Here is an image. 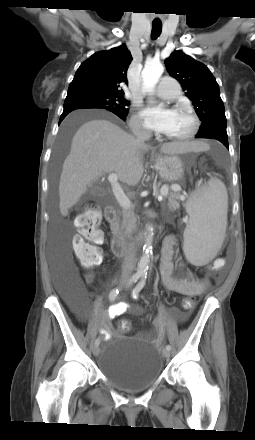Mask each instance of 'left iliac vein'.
I'll return each mask as SVG.
<instances>
[{
	"instance_id": "1",
	"label": "left iliac vein",
	"mask_w": 255,
	"mask_h": 440,
	"mask_svg": "<svg viewBox=\"0 0 255 440\" xmlns=\"http://www.w3.org/2000/svg\"><path fill=\"white\" fill-rule=\"evenodd\" d=\"M163 356H164L165 358H169V357H170V350L164 349V350H163Z\"/></svg>"
}]
</instances>
